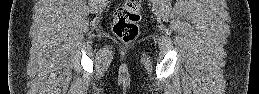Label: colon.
I'll return each mask as SVG.
<instances>
[{
	"instance_id": "5ec220e1",
	"label": "colon",
	"mask_w": 259,
	"mask_h": 94,
	"mask_svg": "<svg viewBox=\"0 0 259 94\" xmlns=\"http://www.w3.org/2000/svg\"><path fill=\"white\" fill-rule=\"evenodd\" d=\"M141 19V1L126 0L116 8L113 18V32L123 42H130L138 35V22Z\"/></svg>"
}]
</instances>
